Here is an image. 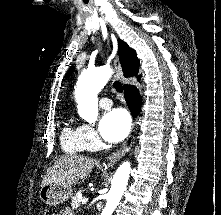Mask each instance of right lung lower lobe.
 Here are the masks:
<instances>
[{"instance_id":"obj_1","label":"right lung lower lobe","mask_w":221,"mask_h":215,"mask_svg":"<svg viewBox=\"0 0 221 215\" xmlns=\"http://www.w3.org/2000/svg\"><path fill=\"white\" fill-rule=\"evenodd\" d=\"M124 95L131 113L135 117L138 114L141 105V96L139 91L133 85H125Z\"/></svg>"}]
</instances>
